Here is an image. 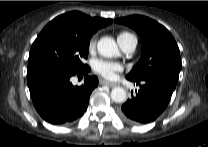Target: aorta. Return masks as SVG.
<instances>
[{
    "mask_svg": "<svg viewBox=\"0 0 208 147\" xmlns=\"http://www.w3.org/2000/svg\"><path fill=\"white\" fill-rule=\"evenodd\" d=\"M97 49L100 55L112 58L119 55V49L115 40L111 37H102L97 44ZM111 99L116 103L126 101V91L122 87H115L111 91Z\"/></svg>",
    "mask_w": 208,
    "mask_h": 147,
    "instance_id": "aorta-1",
    "label": "aorta"
}]
</instances>
